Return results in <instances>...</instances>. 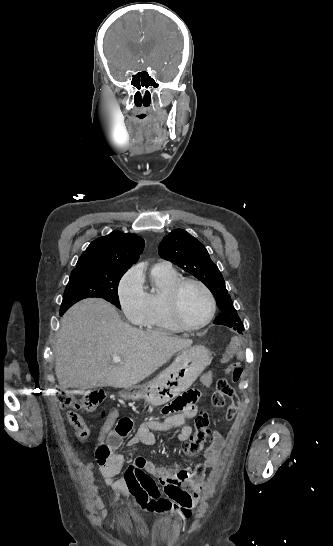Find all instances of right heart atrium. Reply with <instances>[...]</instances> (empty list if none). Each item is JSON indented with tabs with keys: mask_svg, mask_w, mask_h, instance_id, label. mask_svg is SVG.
Here are the masks:
<instances>
[{
	"mask_svg": "<svg viewBox=\"0 0 333 546\" xmlns=\"http://www.w3.org/2000/svg\"><path fill=\"white\" fill-rule=\"evenodd\" d=\"M117 299L125 318L133 324H141L146 314V299L142 277L135 268L129 269L117 288Z\"/></svg>",
	"mask_w": 333,
	"mask_h": 546,
	"instance_id": "right-heart-atrium-1",
	"label": "right heart atrium"
}]
</instances>
